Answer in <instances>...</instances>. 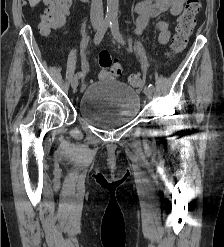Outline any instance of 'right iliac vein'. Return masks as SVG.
<instances>
[{"instance_id":"right-iliac-vein-1","label":"right iliac vein","mask_w":224,"mask_h":247,"mask_svg":"<svg viewBox=\"0 0 224 247\" xmlns=\"http://www.w3.org/2000/svg\"><path fill=\"white\" fill-rule=\"evenodd\" d=\"M99 28H100L99 24L94 25L95 30H98ZM78 83H79V77L74 76V78L72 79V82H71V87L73 89H76V87L78 86Z\"/></svg>"}]
</instances>
